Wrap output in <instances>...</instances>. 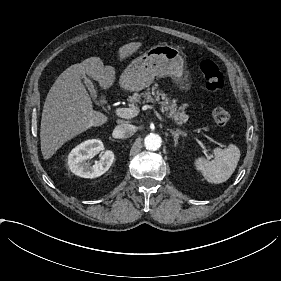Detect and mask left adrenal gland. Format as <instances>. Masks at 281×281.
Segmentation results:
<instances>
[{
	"mask_svg": "<svg viewBox=\"0 0 281 281\" xmlns=\"http://www.w3.org/2000/svg\"><path fill=\"white\" fill-rule=\"evenodd\" d=\"M170 132H171V134H172V136H173V138H174L175 145H176L177 142H178V135L181 134L182 131L179 130V129H176V130L171 129Z\"/></svg>",
	"mask_w": 281,
	"mask_h": 281,
	"instance_id": "a2214340",
	"label": "left adrenal gland"
}]
</instances>
